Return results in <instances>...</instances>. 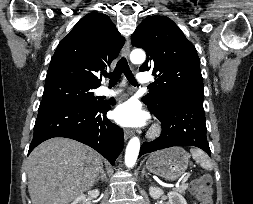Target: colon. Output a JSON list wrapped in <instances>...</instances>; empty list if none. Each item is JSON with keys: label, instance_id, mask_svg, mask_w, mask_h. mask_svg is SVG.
Returning <instances> with one entry per match:
<instances>
[{"label": "colon", "instance_id": "5ec220e1", "mask_svg": "<svg viewBox=\"0 0 253 204\" xmlns=\"http://www.w3.org/2000/svg\"><path fill=\"white\" fill-rule=\"evenodd\" d=\"M190 189L196 196L199 204H213L211 180L209 177L204 176L196 179L192 182Z\"/></svg>", "mask_w": 253, "mask_h": 204}]
</instances>
